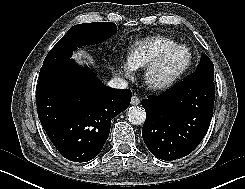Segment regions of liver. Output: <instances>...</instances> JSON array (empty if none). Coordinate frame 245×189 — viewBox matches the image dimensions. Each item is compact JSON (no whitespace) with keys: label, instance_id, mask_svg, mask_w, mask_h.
Here are the masks:
<instances>
[{"label":"liver","instance_id":"1","mask_svg":"<svg viewBox=\"0 0 245 189\" xmlns=\"http://www.w3.org/2000/svg\"><path fill=\"white\" fill-rule=\"evenodd\" d=\"M73 58L80 63L85 62L86 53L82 50H79L76 53H74Z\"/></svg>","mask_w":245,"mask_h":189}]
</instances>
